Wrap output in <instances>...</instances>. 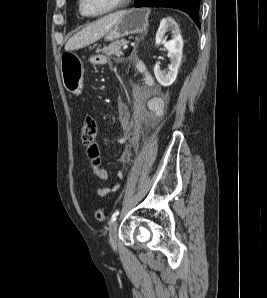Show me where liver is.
Returning a JSON list of instances; mask_svg holds the SVG:
<instances>
[{"mask_svg": "<svg viewBox=\"0 0 267 298\" xmlns=\"http://www.w3.org/2000/svg\"><path fill=\"white\" fill-rule=\"evenodd\" d=\"M121 15L122 11L109 14L84 27L67 41L65 50L81 49L99 40L113 27Z\"/></svg>", "mask_w": 267, "mask_h": 298, "instance_id": "1", "label": "liver"}]
</instances>
